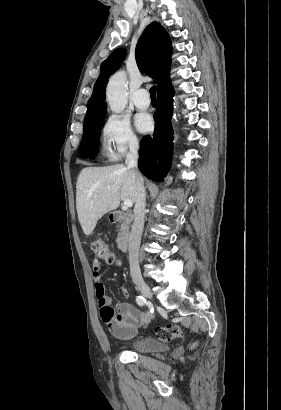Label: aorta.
<instances>
[{
	"label": "aorta",
	"mask_w": 281,
	"mask_h": 410,
	"mask_svg": "<svg viewBox=\"0 0 281 410\" xmlns=\"http://www.w3.org/2000/svg\"><path fill=\"white\" fill-rule=\"evenodd\" d=\"M126 74L118 72L111 76L106 88V99L114 113H121L127 105Z\"/></svg>",
	"instance_id": "obj_1"
}]
</instances>
